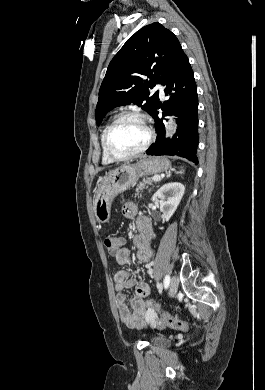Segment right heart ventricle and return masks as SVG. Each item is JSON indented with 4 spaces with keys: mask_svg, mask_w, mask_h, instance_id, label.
I'll use <instances>...</instances> for the list:
<instances>
[{
    "mask_svg": "<svg viewBox=\"0 0 265 390\" xmlns=\"http://www.w3.org/2000/svg\"><path fill=\"white\" fill-rule=\"evenodd\" d=\"M108 126H109V123H107V124L105 125V127L103 128L102 133H101V147H102V162H103V164H110V163H113V162H114V161L106 154L105 149H104V145H103V137H104L105 131H106V129H107Z\"/></svg>",
    "mask_w": 265,
    "mask_h": 390,
    "instance_id": "1",
    "label": "right heart ventricle"
}]
</instances>
